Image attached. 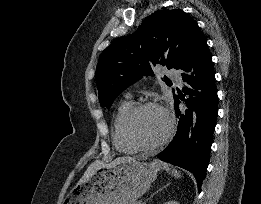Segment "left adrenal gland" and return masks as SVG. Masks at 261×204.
Instances as JSON below:
<instances>
[{"mask_svg": "<svg viewBox=\"0 0 261 204\" xmlns=\"http://www.w3.org/2000/svg\"><path fill=\"white\" fill-rule=\"evenodd\" d=\"M167 186H168V184L165 185L164 187L160 188L159 190H157L155 193H153V194L150 196L149 199H151L155 194H157L159 191L163 190V189L166 188Z\"/></svg>", "mask_w": 261, "mask_h": 204, "instance_id": "obj_1", "label": "left adrenal gland"}]
</instances>
